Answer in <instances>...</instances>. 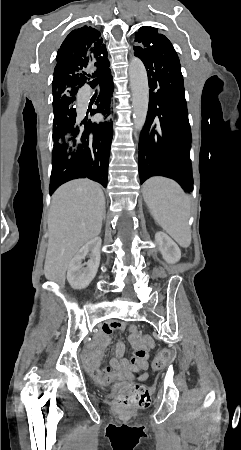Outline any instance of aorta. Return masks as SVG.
Listing matches in <instances>:
<instances>
[{"instance_id":"1","label":"aorta","mask_w":241,"mask_h":450,"mask_svg":"<svg viewBox=\"0 0 241 450\" xmlns=\"http://www.w3.org/2000/svg\"><path fill=\"white\" fill-rule=\"evenodd\" d=\"M129 77L132 92L134 127L136 131L141 132L148 112L149 86L145 66L137 57H132L130 61Z\"/></svg>"}]
</instances>
